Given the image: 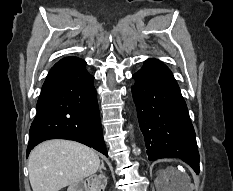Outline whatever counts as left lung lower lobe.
I'll return each mask as SVG.
<instances>
[{
  "instance_id": "obj_1",
  "label": "left lung lower lobe",
  "mask_w": 233,
  "mask_h": 191,
  "mask_svg": "<svg viewBox=\"0 0 233 191\" xmlns=\"http://www.w3.org/2000/svg\"><path fill=\"white\" fill-rule=\"evenodd\" d=\"M131 87L149 160L174 157L199 173V153L186 103L172 72L148 59Z\"/></svg>"
}]
</instances>
